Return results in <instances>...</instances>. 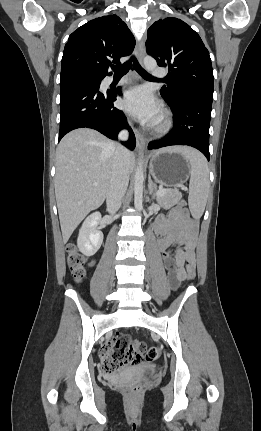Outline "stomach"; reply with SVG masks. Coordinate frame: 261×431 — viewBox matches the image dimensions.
Masks as SVG:
<instances>
[{
  "label": "stomach",
  "mask_w": 261,
  "mask_h": 431,
  "mask_svg": "<svg viewBox=\"0 0 261 431\" xmlns=\"http://www.w3.org/2000/svg\"><path fill=\"white\" fill-rule=\"evenodd\" d=\"M190 164L180 154L165 150L156 152L149 163V172L154 180L167 187L185 183L190 176Z\"/></svg>",
  "instance_id": "stomach-1"
}]
</instances>
